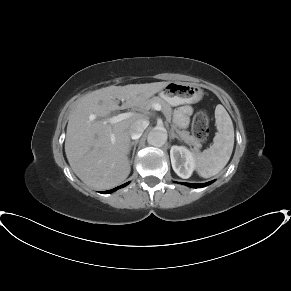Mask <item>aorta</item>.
I'll use <instances>...</instances> for the list:
<instances>
[{"label": "aorta", "instance_id": "762f6f07", "mask_svg": "<svg viewBox=\"0 0 291 291\" xmlns=\"http://www.w3.org/2000/svg\"><path fill=\"white\" fill-rule=\"evenodd\" d=\"M167 138L166 129L163 127H156L149 132L147 142L152 146L161 147L166 143Z\"/></svg>", "mask_w": 291, "mask_h": 291}]
</instances>
